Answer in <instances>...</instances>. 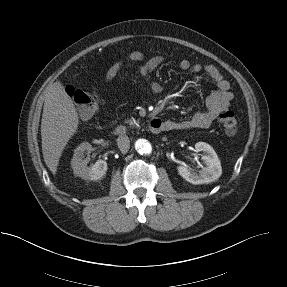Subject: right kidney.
Instances as JSON below:
<instances>
[{"label":"right kidney","instance_id":"ca27d5eb","mask_svg":"<svg viewBox=\"0 0 287 287\" xmlns=\"http://www.w3.org/2000/svg\"><path fill=\"white\" fill-rule=\"evenodd\" d=\"M92 145L89 143H82L79 145L71 160V166L75 176L81 177L85 180H98L101 179L107 171V162L104 160H98L94 165L88 167L89 158H84V153L90 152Z\"/></svg>","mask_w":287,"mask_h":287}]
</instances>
